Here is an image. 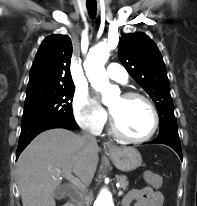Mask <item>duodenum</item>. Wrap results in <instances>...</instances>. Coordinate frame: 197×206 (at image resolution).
Here are the masks:
<instances>
[{"label":"duodenum","mask_w":197,"mask_h":206,"mask_svg":"<svg viewBox=\"0 0 197 206\" xmlns=\"http://www.w3.org/2000/svg\"><path fill=\"white\" fill-rule=\"evenodd\" d=\"M63 206H74V205L71 202H67Z\"/></svg>","instance_id":"410a0bca"}]
</instances>
